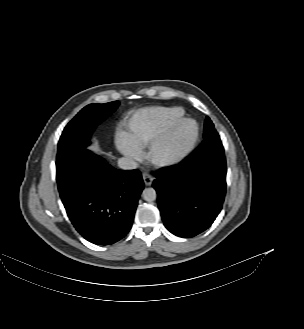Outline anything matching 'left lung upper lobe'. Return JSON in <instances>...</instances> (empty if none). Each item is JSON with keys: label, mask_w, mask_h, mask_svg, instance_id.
I'll return each mask as SVG.
<instances>
[{"label": "left lung upper lobe", "mask_w": 304, "mask_h": 329, "mask_svg": "<svg viewBox=\"0 0 304 329\" xmlns=\"http://www.w3.org/2000/svg\"><path fill=\"white\" fill-rule=\"evenodd\" d=\"M214 125L209 117H206L204 124V138L209 135L212 131H214Z\"/></svg>", "instance_id": "1"}]
</instances>
